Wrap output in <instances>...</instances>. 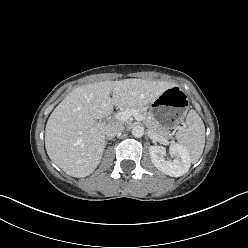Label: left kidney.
<instances>
[{
  "instance_id": "left-kidney-1",
  "label": "left kidney",
  "mask_w": 248,
  "mask_h": 248,
  "mask_svg": "<svg viewBox=\"0 0 248 248\" xmlns=\"http://www.w3.org/2000/svg\"><path fill=\"white\" fill-rule=\"evenodd\" d=\"M174 159H165L166 150L162 146H151L149 153L154 166L161 172L171 177H180L190 168L191 157L185 147L174 144L171 149Z\"/></svg>"
}]
</instances>
